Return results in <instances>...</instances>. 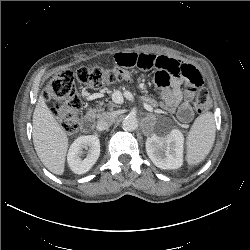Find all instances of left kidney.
<instances>
[{"label":"left kidney","instance_id":"5707ae66","mask_svg":"<svg viewBox=\"0 0 250 250\" xmlns=\"http://www.w3.org/2000/svg\"><path fill=\"white\" fill-rule=\"evenodd\" d=\"M184 136L178 129H172L165 136L153 135L147 138L146 152L155 166L161 169H177L183 164Z\"/></svg>","mask_w":250,"mask_h":250}]
</instances>
